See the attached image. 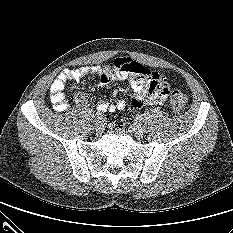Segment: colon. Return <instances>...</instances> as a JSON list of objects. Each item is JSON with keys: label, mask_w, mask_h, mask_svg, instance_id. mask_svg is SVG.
<instances>
[{"label": "colon", "mask_w": 233, "mask_h": 233, "mask_svg": "<svg viewBox=\"0 0 233 233\" xmlns=\"http://www.w3.org/2000/svg\"><path fill=\"white\" fill-rule=\"evenodd\" d=\"M135 74L139 78H147L150 76V70L146 67L137 66L135 69ZM187 103V98L184 93L179 90H175L172 92L170 96V108L176 112L180 113L184 110Z\"/></svg>", "instance_id": "obj_1"}]
</instances>
